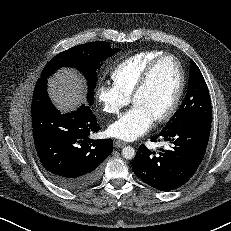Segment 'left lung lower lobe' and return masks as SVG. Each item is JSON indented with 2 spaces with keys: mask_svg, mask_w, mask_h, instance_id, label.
I'll list each match as a JSON object with an SVG mask.
<instances>
[{
  "mask_svg": "<svg viewBox=\"0 0 231 231\" xmlns=\"http://www.w3.org/2000/svg\"><path fill=\"white\" fill-rule=\"evenodd\" d=\"M211 123L189 121L170 129H162L151 138L167 146L158 153L141 145L132 162V169L143 182L161 191L184 185L203 160Z\"/></svg>",
  "mask_w": 231,
  "mask_h": 231,
  "instance_id": "obj_1",
  "label": "left lung lower lobe"
}]
</instances>
